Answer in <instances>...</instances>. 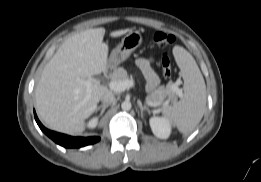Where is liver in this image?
Returning a JSON list of instances; mask_svg holds the SVG:
<instances>
[{"label": "liver", "instance_id": "liver-1", "mask_svg": "<svg viewBox=\"0 0 261 182\" xmlns=\"http://www.w3.org/2000/svg\"><path fill=\"white\" fill-rule=\"evenodd\" d=\"M129 29L110 33L119 37ZM105 28L87 29L68 38L45 66L35 90L37 112L52 130L80 134L85 119L96 110L101 97L112 93L91 79L108 68ZM90 80L87 87L85 81Z\"/></svg>", "mask_w": 261, "mask_h": 182}]
</instances>
